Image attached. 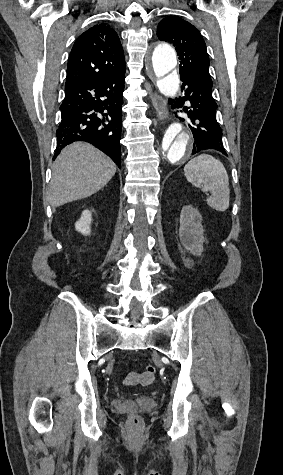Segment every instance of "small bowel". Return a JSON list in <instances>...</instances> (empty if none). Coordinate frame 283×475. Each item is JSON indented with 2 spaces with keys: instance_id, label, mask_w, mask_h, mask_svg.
<instances>
[{
  "instance_id": "obj_1",
  "label": "small bowel",
  "mask_w": 283,
  "mask_h": 475,
  "mask_svg": "<svg viewBox=\"0 0 283 475\" xmlns=\"http://www.w3.org/2000/svg\"><path fill=\"white\" fill-rule=\"evenodd\" d=\"M143 377H144V374H143V372H141V371H128V372L126 373V378H127L128 380H141V379H143ZM133 383H140V384H145V385H147V384H151V383H152V380H151V382H149V383H142V382H140V381L133 382ZM124 384H132V383L127 382L126 380H124Z\"/></svg>"
}]
</instances>
